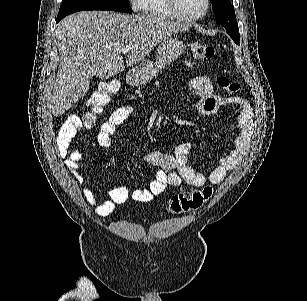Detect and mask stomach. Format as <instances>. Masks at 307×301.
Wrapping results in <instances>:
<instances>
[{
	"label": "stomach",
	"instance_id": "stomach-1",
	"mask_svg": "<svg viewBox=\"0 0 307 301\" xmlns=\"http://www.w3.org/2000/svg\"><path fill=\"white\" fill-rule=\"evenodd\" d=\"M186 44L183 40L170 36L162 40L161 44L157 46L156 60H142L137 66H132L126 74L127 84L131 86H141L150 82L153 78L158 76L165 64H170L173 60L180 58L181 54L185 52Z\"/></svg>",
	"mask_w": 307,
	"mask_h": 301
}]
</instances>
